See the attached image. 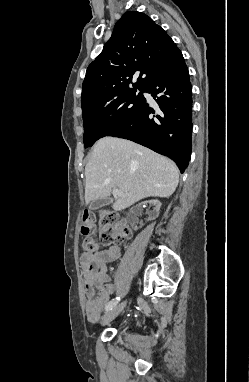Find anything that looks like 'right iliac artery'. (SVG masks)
Here are the masks:
<instances>
[{"instance_id": "1", "label": "right iliac artery", "mask_w": 249, "mask_h": 382, "mask_svg": "<svg viewBox=\"0 0 249 382\" xmlns=\"http://www.w3.org/2000/svg\"><path fill=\"white\" fill-rule=\"evenodd\" d=\"M120 300L119 297H116L115 299H112L111 301H109L106 306H105V310L106 311H109L111 310L114 306L117 305L118 301Z\"/></svg>"}]
</instances>
